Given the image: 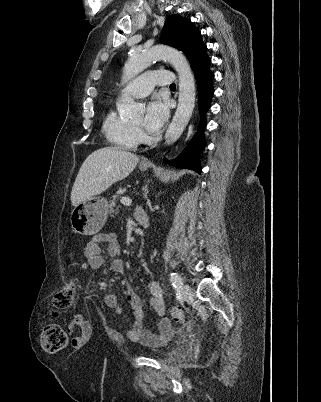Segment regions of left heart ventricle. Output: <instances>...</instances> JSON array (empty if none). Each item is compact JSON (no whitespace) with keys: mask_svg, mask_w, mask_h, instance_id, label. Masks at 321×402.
<instances>
[{"mask_svg":"<svg viewBox=\"0 0 321 402\" xmlns=\"http://www.w3.org/2000/svg\"><path fill=\"white\" fill-rule=\"evenodd\" d=\"M141 122H142L141 120H140V121H138V122L136 123V125H139V124H141Z\"/></svg>","mask_w":321,"mask_h":402,"instance_id":"1","label":"left heart ventricle"}]
</instances>
